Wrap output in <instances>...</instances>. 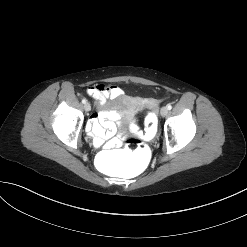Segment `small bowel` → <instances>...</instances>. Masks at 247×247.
Listing matches in <instances>:
<instances>
[{"label":"small bowel","instance_id":"c3829d8e","mask_svg":"<svg viewBox=\"0 0 247 247\" xmlns=\"http://www.w3.org/2000/svg\"><path fill=\"white\" fill-rule=\"evenodd\" d=\"M87 93L94 98L100 105H104L107 99H116L122 96V90L118 87H105L103 85H95L88 88ZM119 118V113L99 112L94 114L87 129L95 146L114 148L120 145V140L114 135L117 128L113 121Z\"/></svg>","mask_w":247,"mask_h":247}]
</instances>
